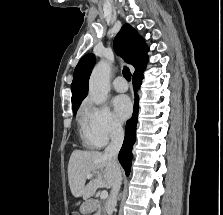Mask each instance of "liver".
<instances>
[{
  "instance_id": "obj_1",
  "label": "liver",
  "mask_w": 223,
  "mask_h": 215,
  "mask_svg": "<svg viewBox=\"0 0 223 215\" xmlns=\"http://www.w3.org/2000/svg\"><path fill=\"white\" fill-rule=\"evenodd\" d=\"M119 167V165H118ZM88 173H98L87 185ZM114 167L109 157L101 151H81L74 149L68 163V179L72 195L88 199L97 187H111L114 181Z\"/></svg>"
}]
</instances>
